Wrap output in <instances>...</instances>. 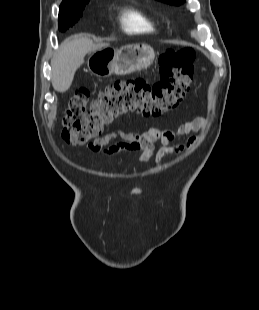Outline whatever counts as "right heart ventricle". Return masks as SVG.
<instances>
[{"mask_svg": "<svg viewBox=\"0 0 259 310\" xmlns=\"http://www.w3.org/2000/svg\"><path fill=\"white\" fill-rule=\"evenodd\" d=\"M122 28L132 34L152 33L157 30V22L143 11L129 7L120 15Z\"/></svg>", "mask_w": 259, "mask_h": 310, "instance_id": "obj_1", "label": "right heart ventricle"}]
</instances>
